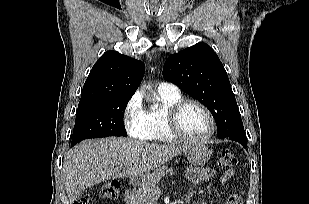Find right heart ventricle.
<instances>
[{"label": "right heart ventricle", "mask_w": 309, "mask_h": 204, "mask_svg": "<svg viewBox=\"0 0 309 204\" xmlns=\"http://www.w3.org/2000/svg\"><path fill=\"white\" fill-rule=\"evenodd\" d=\"M161 106L145 111L144 120L146 135L143 139L156 142H172L175 138L171 135L166 124V113L170 106L182 99L180 93H159Z\"/></svg>", "instance_id": "obj_1"}]
</instances>
